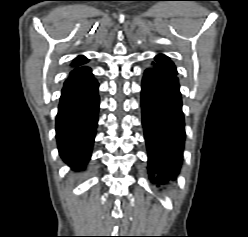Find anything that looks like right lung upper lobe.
Returning <instances> with one entry per match:
<instances>
[{
	"mask_svg": "<svg viewBox=\"0 0 248 237\" xmlns=\"http://www.w3.org/2000/svg\"><path fill=\"white\" fill-rule=\"evenodd\" d=\"M86 62H87V59L83 56H80V57L76 58L72 64L74 66H77V65H81V64L86 63Z\"/></svg>",
	"mask_w": 248,
	"mask_h": 237,
	"instance_id": "1",
	"label": "right lung upper lobe"
}]
</instances>
